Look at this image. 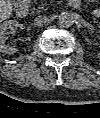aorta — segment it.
I'll return each mask as SVG.
<instances>
[{"instance_id": "obj_1", "label": "aorta", "mask_w": 100, "mask_h": 118, "mask_svg": "<svg viewBox=\"0 0 100 118\" xmlns=\"http://www.w3.org/2000/svg\"><path fill=\"white\" fill-rule=\"evenodd\" d=\"M58 22H59L60 26L68 28L73 25L74 20H73V17L70 13L61 12L58 15Z\"/></svg>"}]
</instances>
